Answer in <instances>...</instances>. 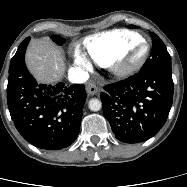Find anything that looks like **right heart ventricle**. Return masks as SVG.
Listing matches in <instances>:
<instances>
[{"mask_svg":"<svg viewBox=\"0 0 187 187\" xmlns=\"http://www.w3.org/2000/svg\"><path fill=\"white\" fill-rule=\"evenodd\" d=\"M143 38L140 34L115 29L87 37L83 41L86 54L97 64L107 66L108 63L127 45Z\"/></svg>","mask_w":187,"mask_h":187,"instance_id":"e07e8e85","label":"right heart ventricle"}]
</instances>
